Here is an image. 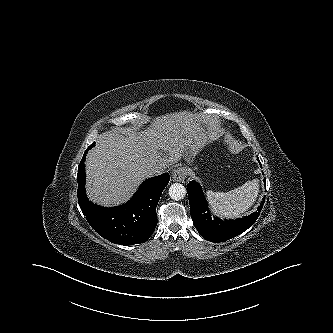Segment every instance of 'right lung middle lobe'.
I'll return each mask as SVG.
<instances>
[{
    "label": "right lung middle lobe",
    "mask_w": 333,
    "mask_h": 333,
    "mask_svg": "<svg viewBox=\"0 0 333 333\" xmlns=\"http://www.w3.org/2000/svg\"><path fill=\"white\" fill-rule=\"evenodd\" d=\"M94 144H95V143H92V144L90 145V147H93V146H94Z\"/></svg>",
    "instance_id": "dd1d6c3e"
}]
</instances>
